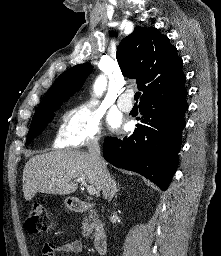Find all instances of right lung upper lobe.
Instances as JSON below:
<instances>
[{"mask_svg": "<svg viewBox=\"0 0 221 256\" xmlns=\"http://www.w3.org/2000/svg\"><path fill=\"white\" fill-rule=\"evenodd\" d=\"M117 61L124 76L137 80L138 89L143 91L140 102L186 90L183 61L177 55V49L154 27L136 26L121 41ZM92 68L90 63H84L65 71L55 80L40 104L56 98L69 99L82 87Z\"/></svg>", "mask_w": 221, "mask_h": 256, "instance_id": "obj_1", "label": "right lung upper lobe"}]
</instances>
